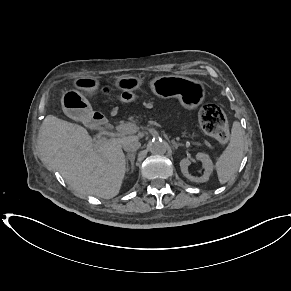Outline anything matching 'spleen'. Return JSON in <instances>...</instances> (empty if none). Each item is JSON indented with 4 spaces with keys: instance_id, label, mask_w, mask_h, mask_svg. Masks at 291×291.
<instances>
[{
    "instance_id": "3e777b00",
    "label": "spleen",
    "mask_w": 291,
    "mask_h": 291,
    "mask_svg": "<svg viewBox=\"0 0 291 291\" xmlns=\"http://www.w3.org/2000/svg\"><path fill=\"white\" fill-rule=\"evenodd\" d=\"M244 156V137L240 123L233 122L230 143L216 162L219 182L225 184L237 172Z\"/></svg>"
}]
</instances>
